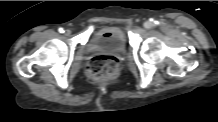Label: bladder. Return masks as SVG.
<instances>
[{
    "mask_svg": "<svg viewBox=\"0 0 218 122\" xmlns=\"http://www.w3.org/2000/svg\"><path fill=\"white\" fill-rule=\"evenodd\" d=\"M125 46V34L117 26H107L97 30L88 43V47L92 50L110 52H123Z\"/></svg>",
    "mask_w": 218,
    "mask_h": 122,
    "instance_id": "bladder-1",
    "label": "bladder"
}]
</instances>
